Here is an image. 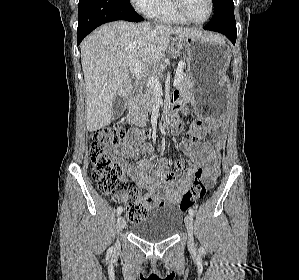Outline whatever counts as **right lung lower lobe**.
I'll return each mask as SVG.
<instances>
[{
	"mask_svg": "<svg viewBox=\"0 0 299 280\" xmlns=\"http://www.w3.org/2000/svg\"><path fill=\"white\" fill-rule=\"evenodd\" d=\"M116 20L139 22L143 17L126 0H79L77 45L96 27Z\"/></svg>",
	"mask_w": 299,
	"mask_h": 280,
	"instance_id": "right-lung-lower-lobe-1",
	"label": "right lung lower lobe"
}]
</instances>
